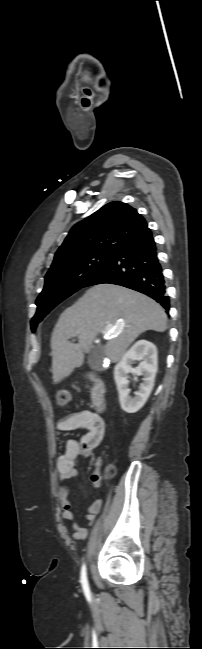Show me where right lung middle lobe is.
Instances as JSON below:
<instances>
[{
    "label": "right lung middle lobe",
    "instance_id": "right-lung-middle-lobe-1",
    "mask_svg": "<svg viewBox=\"0 0 202 649\" xmlns=\"http://www.w3.org/2000/svg\"><path fill=\"white\" fill-rule=\"evenodd\" d=\"M116 253L89 251L53 265L45 276L43 291L36 300L37 312L31 320L32 332L61 301L83 288Z\"/></svg>",
    "mask_w": 202,
    "mask_h": 649
}]
</instances>
